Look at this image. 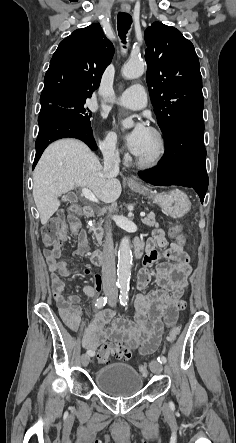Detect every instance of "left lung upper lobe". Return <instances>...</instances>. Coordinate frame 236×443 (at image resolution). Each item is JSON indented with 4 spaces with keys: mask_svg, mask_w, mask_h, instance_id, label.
I'll list each match as a JSON object with an SVG mask.
<instances>
[{
    "mask_svg": "<svg viewBox=\"0 0 236 443\" xmlns=\"http://www.w3.org/2000/svg\"><path fill=\"white\" fill-rule=\"evenodd\" d=\"M146 80L165 136L179 120L202 117L200 64L193 44L174 27L154 22L145 31Z\"/></svg>",
    "mask_w": 236,
    "mask_h": 443,
    "instance_id": "obj_1",
    "label": "left lung upper lobe"
}]
</instances>
